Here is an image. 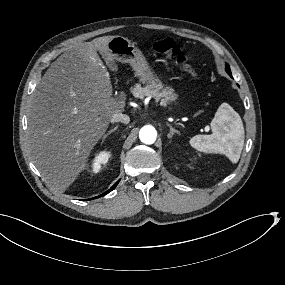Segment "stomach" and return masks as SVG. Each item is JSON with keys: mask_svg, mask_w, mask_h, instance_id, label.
Masks as SVG:
<instances>
[{"mask_svg": "<svg viewBox=\"0 0 285 285\" xmlns=\"http://www.w3.org/2000/svg\"><path fill=\"white\" fill-rule=\"evenodd\" d=\"M107 47L113 59L122 63H129L132 66L135 75L139 77L142 83H146L147 85L157 83L158 79L142 52L128 38L118 35L113 36L109 40ZM163 90L168 91L169 89L166 88L161 91ZM166 98L167 103L175 100L172 92Z\"/></svg>", "mask_w": 285, "mask_h": 285, "instance_id": "0dacf381", "label": "stomach"}]
</instances>
